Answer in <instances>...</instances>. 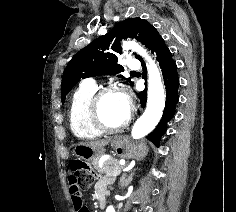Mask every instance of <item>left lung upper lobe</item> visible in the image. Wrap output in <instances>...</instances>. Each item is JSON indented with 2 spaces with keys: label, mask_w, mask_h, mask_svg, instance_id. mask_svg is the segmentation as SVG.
Segmentation results:
<instances>
[{
  "label": "left lung upper lobe",
  "mask_w": 236,
  "mask_h": 212,
  "mask_svg": "<svg viewBox=\"0 0 236 212\" xmlns=\"http://www.w3.org/2000/svg\"><path fill=\"white\" fill-rule=\"evenodd\" d=\"M153 28L154 26L144 19L128 18L117 23L105 36L94 40L77 52L69 61L63 74L62 103L65 102L69 91L81 79L100 75H116L124 71V68L117 64L118 54L122 53L120 41L127 37L135 38L147 47L148 37ZM136 58L141 59L138 55ZM118 77L124 78L121 75ZM126 80L133 85L131 78Z\"/></svg>",
  "instance_id": "5c2ea615"
}]
</instances>
